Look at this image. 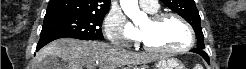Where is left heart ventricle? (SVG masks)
Returning a JSON list of instances; mask_svg holds the SVG:
<instances>
[{
	"label": "left heart ventricle",
	"instance_id": "obj_1",
	"mask_svg": "<svg viewBox=\"0 0 246 69\" xmlns=\"http://www.w3.org/2000/svg\"><path fill=\"white\" fill-rule=\"evenodd\" d=\"M139 32L150 46L162 49L180 48L188 40L183 25L173 18L159 23H153L148 19L139 27Z\"/></svg>",
	"mask_w": 246,
	"mask_h": 69
}]
</instances>
